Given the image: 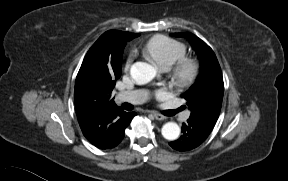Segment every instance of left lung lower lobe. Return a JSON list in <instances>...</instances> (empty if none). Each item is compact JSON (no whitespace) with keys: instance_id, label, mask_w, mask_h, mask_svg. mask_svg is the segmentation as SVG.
Listing matches in <instances>:
<instances>
[{"instance_id":"0a47b994","label":"left lung lower lobe","mask_w":288,"mask_h":181,"mask_svg":"<svg viewBox=\"0 0 288 181\" xmlns=\"http://www.w3.org/2000/svg\"><path fill=\"white\" fill-rule=\"evenodd\" d=\"M214 125L196 118H189L183 123V135L169 145L178 151H189L202 144L212 131Z\"/></svg>"}]
</instances>
